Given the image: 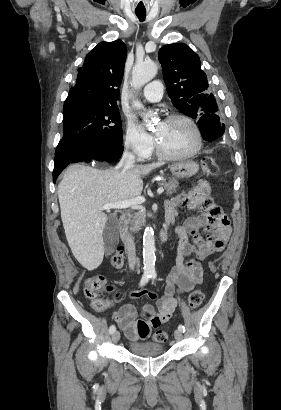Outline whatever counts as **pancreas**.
<instances>
[{
    "label": "pancreas",
    "mask_w": 281,
    "mask_h": 410,
    "mask_svg": "<svg viewBox=\"0 0 281 410\" xmlns=\"http://www.w3.org/2000/svg\"><path fill=\"white\" fill-rule=\"evenodd\" d=\"M159 185L166 189L167 195H172L173 193L177 192L179 183L176 179L169 178L168 180L162 179ZM145 221H146V215L144 212L140 211V212L134 213V215H128L129 229L132 232H136L140 230L141 226L144 225Z\"/></svg>",
    "instance_id": "obj_1"
}]
</instances>
